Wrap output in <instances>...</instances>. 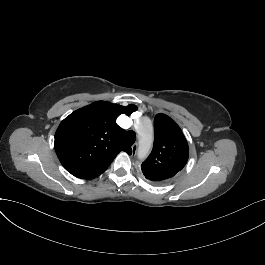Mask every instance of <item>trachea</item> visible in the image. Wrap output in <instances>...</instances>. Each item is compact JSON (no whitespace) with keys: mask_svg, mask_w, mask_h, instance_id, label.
Returning a JSON list of instances; mask_svg holds the SVG:
<instances>
[{"mask_svg":"<svg viewBox=\"0 0 265 265\" xmlns=\"http://www.w3.org/2000/svg\"><path fill=\"white\" fill-rule=\"evenodd\" d=\"M124 138L126 143H128L129 145H133L136 140V134L133 131H127Z\"/></svg>","mask_w":265,"mask_h":265,"instance_id":"3493384b","label":"trachea"}]
</instances>
